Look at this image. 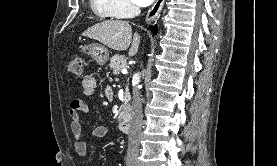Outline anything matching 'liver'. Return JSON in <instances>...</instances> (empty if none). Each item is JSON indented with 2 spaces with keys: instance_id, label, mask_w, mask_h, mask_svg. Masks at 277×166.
Here are the masks:
<instances>
[{
  "instance_id": "1",
  "label": "liver",
  "mask_w": 277,
  "mask_h": 166,
  "mask_svg": "<svg viewBox=\"0 0 277 166\" xmlns=\"http://www.w3.org/2000/svg\"><path fill=\"white\" fill-rule=\"evenodd\" d=\"M83 36L97 40L107 47L124 51L131 45L128 55L134 56L140 45V36L136 32L132 40V28L126 21L107 20L88 28Z\"/></svg>"
}]
</instances>
